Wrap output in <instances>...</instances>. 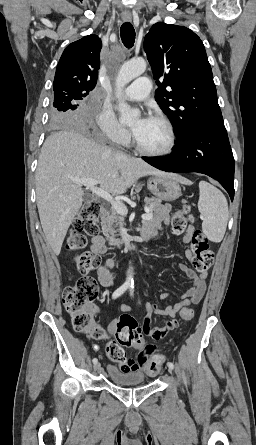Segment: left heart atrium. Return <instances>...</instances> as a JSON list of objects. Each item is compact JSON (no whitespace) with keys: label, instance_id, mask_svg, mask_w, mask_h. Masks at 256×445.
Segmentation results:
<instances>
[{"label":"left heart atrium","instance_id":"39dd6f15","mask_svg":"<svg viewBox=\"0 0 256 445\" xmlns=\"http://www.w3.org/2000/svg\"><path fill=\"white\" fill-rule=\"evenodd\" d=\"M146 118H141L138 120L136 126L133 128V133L137 132L138 129L143 125V123L146 121Z\"/></svg>","mask_w":256,"mask_h":445}]
</instances>
